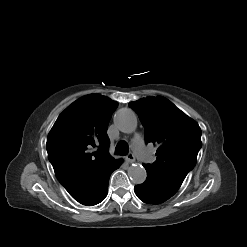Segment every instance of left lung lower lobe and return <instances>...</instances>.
<instances>
[{"label":"left lung lower lobe","mask_w":247,"mask_h":247,"mask_svg":"<svg viewBox=\"0 0 247 247\" xmlns=\"http://www.w3.org/2000/svg\"><path fill=\"white\" fill-rule=\"evenodd\" d=\"M144 167L147 171V179L143 184L134 187L137 197L147 204H160L171 198L176 190L172 189L156 172L146 165Z\"/></svg>","instance_id":"0a47b994"}]
</instances>
